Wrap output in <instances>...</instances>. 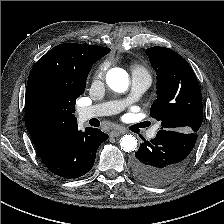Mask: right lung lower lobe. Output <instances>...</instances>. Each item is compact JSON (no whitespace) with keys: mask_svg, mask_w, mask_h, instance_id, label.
Wrapping results in <instances>:
<instances>
[{"mask_svg":"<svg viewBox=\"0 0 224 224\" xmlns=\"http://www.w3.org/2000/svg\"><path fill=\"white\" fill-rule=\"evenodd\" d=\"M108 134L99 129L68 124L35 145L39 157L54 174L63 178H78L91 170L99 145Z\"/></svg>","mask_w":224,"mask_h":224,"instance_id":"right-lung-lower-lobe-1","label":"right lung lower lobe"}]
</instances>
